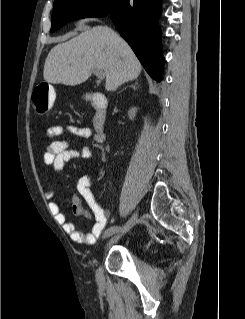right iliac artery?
Segmentation results:
<instances>
[{"label": "right iliac artery", "instance_id": "obj_1", "mask_svg": "<svg viewBox=\"0 0 245 319\" xmlns=\"http://www.w3.org/2000/svg\"><path fill=\"white\" fill-rule=\"evenodd\" d=\"M122 227L120 226H113V227H110L108 230H107V233L109 235H113L114 233L118 232Z\"/></svg>", "mask_w": 245, "mask_h": 319}]
</instances>
